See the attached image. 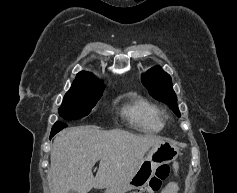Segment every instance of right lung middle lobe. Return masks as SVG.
<instances>
[{
    "label": "right lung middle lobe",
    "instance_id": "right-lung-middle-lobe-1",
    "mask_svg": "<svg viewBox=\"0 0 237 193\" xmlns=\"http://www.w3.org/2000/svg\"><path fill=\"white\" fill-rule=\"evenodd\" d=\"M104 89L87 90L71 87L65 94L59 115L66 120H76L90 113Z\"/></svg>",
    "mask_w": 237,
    "mask_h": 193
}]
</instances>
